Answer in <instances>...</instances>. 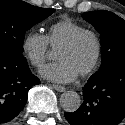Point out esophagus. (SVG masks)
<instances>
[{"instance_id":"1","label":"esophagus","mask_w":125,"mask_h":125,"mask_svg":"<svg viewBox=\"0 0 125 125\" xmlns=\"http://www.w3.org/2000/svg\"><path fill=\"white\" fill-rule=\"evenodd\" d=\"M53 88L58 91V92H64L66 90L65 87L61 86V85H57V84H54L53 85Z\"/></svg>"}]
</instances>
